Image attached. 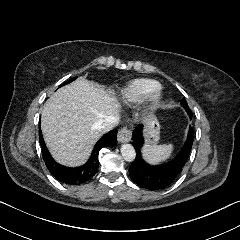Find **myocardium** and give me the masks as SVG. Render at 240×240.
<instances>
[{"label":"myocardium","mask_w":240,"mask_h":240,"mask_svg":"<svg viewBox=\"0 0 240 240\" xmlns=\"http://www.w3.org/2000/svg\"><path fill=\"white\" fill-rule=\"evenodd\" d=\"M163 98V89L160 86H157L148 94L147 104L148 109H154L158 106L159 102Z\"/></svg>","instance_id":"myocardium-1"}]
</instances>
